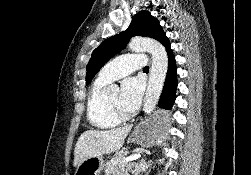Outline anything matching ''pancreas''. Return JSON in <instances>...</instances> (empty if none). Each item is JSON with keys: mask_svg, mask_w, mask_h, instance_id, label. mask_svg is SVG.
Listing matches in <instances>:
<instances>
[{"mask_svg": "<svg viewBox=\"0 0 251 175\" xmlns=\"http://www.w3.org/2000/svg\"><path fill=\"white\" fill-rule=\"evenodd\" d=\"M127 153H129V151H123L119 157L109 159L104 169L105 175H129L127 169H131L134 161H125V155H127ZM132 155H134V153H132Z\"/></svg>", "mask_w": 251, "mask_h": 175, "instance_id": "cf45deb5", "label": "pancreas"}]
</instances>
